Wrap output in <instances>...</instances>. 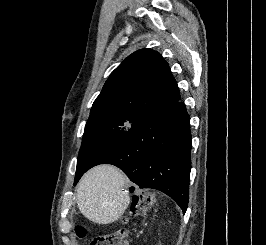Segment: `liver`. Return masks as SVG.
Segmentation results:
<instances>
[{"instance_id":"liver-1","label":"liver","mask_w":266,"mask_h":245,"mask_svg":"<svg viewBox=\"0 0 266 245\" xmlns=\"http://www.w3.org/2000/svg\"><path fill=\"white\" fill-rule=\"evenodd\" d=\"M126 181V175L117 167H94L78 183L76 203L79 211L98 225L119 221L130 203L125 191Z\"/></svg>"}]
</instances>
